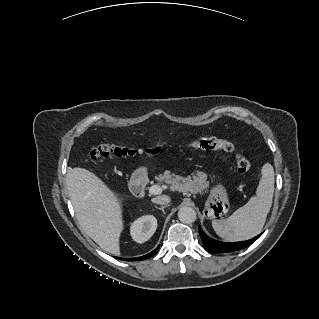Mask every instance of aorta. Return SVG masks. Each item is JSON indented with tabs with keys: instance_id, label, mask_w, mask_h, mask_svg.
Returning a JSON list of instances; mask_svg holds the SVG:
<instances>
[{
	"instance_id": "1",
	"label": "aorta",
	"mask_w": 319,
	"mask_h": 319,
	"mask_svg": "<svg viewBox=\"0 0 319 319\" xmlns=\"http://www.w3.org/2000/svg\"><path fill=\"white\" fill-rule=\"evenodd\" d=\"M178 218L184 224H191L197 218L196 211L190 206H183L178 211Z\"/></svg>"
}]
</instances>
